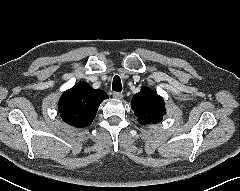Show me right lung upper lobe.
<instances>
[{
  "label": "right lung upper lobe",
  "mask_w": 240,
  "mask_h": 191,
  "mask_svg": "<svg viewBox=\"0 0 240 191\" xmlns=\"http://www.w3.org/2000/svg\"><path fill=\"white\" fill-rule=\"evenodd\" d=\"M108 96L103 90L93 89L86 82H79L65 91L58 103V111L63 121L82 128L94 120L98 107Z\"/></svg>",
  "instance_id": "obj_1"
}]
</instances>
